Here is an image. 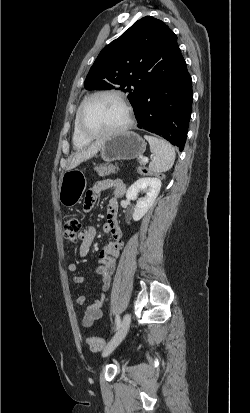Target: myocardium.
<instances>
[{
  "mask_svg": "<svg viewBox=\"0 0 250 413\" xmlns=\"http://www.w3.org/2000/svg\"><path fill=\"white\" fill-rule=\"evenodd\" d=\"M99 96H113L117 98L124 105L126 112H127V119H126V122L121 127L113 131L104 132V133H94L86 129L84 125L85 111L88 105L91 103V101ZM133 122H134L133 107L130 104V102L127 100V98L121 92L117 90H100V91L94 92L93 94L89 95L83 101L80 107L79 113H78V129L85 138L90 139V140L105 139V138H111V137L121 135L132 126Z\"/></svg>",
  "mask_w": 250,
  "mask_h": 413,
  "instance_id": "f54148a6",
  "label": "myocardium"
}]
</instances>
